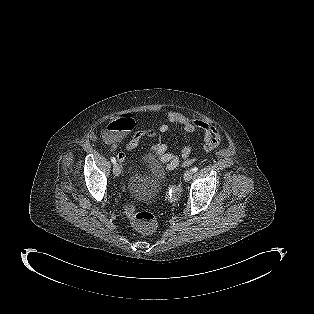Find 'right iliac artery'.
I'll list each match as a JSON object with an SVG mask.
<instances>
[{
	"instance_id": "right-iliac-artery-1",
	"label": "right iliac artery",
	"mask_w": 314,
	"mask_h": 314,
	"mask_svg": "<svg viewBox=\"0 0 314 314\" xmlns=\"http://www.w3.org/2000/svg\"><path fill=\"white\" fill-rule=\"evenodd\" d=\"M111 162H112L113 164H115V163H116V159H115V157H111Z\"/></svg>"
}]
</instances>
